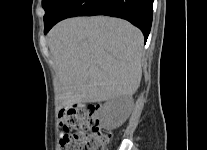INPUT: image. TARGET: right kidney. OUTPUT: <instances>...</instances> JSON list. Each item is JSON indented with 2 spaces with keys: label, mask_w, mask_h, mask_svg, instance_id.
<instances>
[{
  "label": "right kidney",
  "mask_w": 207,
  "mask_h": 150,
  "mask_svg": "<svg viewBox=\"0 0 207 150\" xmlns=\"http://www.w3.org/2000/svg\"><path fill=\"white\" fill-rule=\"evenodd\" d=\"M133 106L131 96H121L107 101L101 113L106 125L110 128L121 126L129 117Z\"/></svg>",
  "instance_id": "obj_1"
}]
</instances>
